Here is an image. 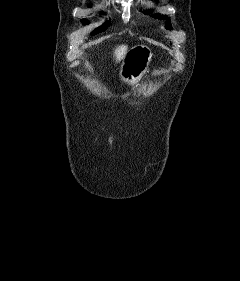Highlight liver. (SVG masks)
Listing matches in <instances>:
<instances>
[{
    "mask_svg": "<svg viewBox=\"0 0 240 281\" xmlns=\"http://www.w3.org/2000/svg\"><path fill=\"white\" fill-rule=\"evenodd\" d=\"M127 49V45H121L114 50V57L116 58V62H120L123 59L124 55L127 52Z\"/></svg>",
    "mask_w": 240,
    "mask_h": 281,
    "instance_id": "1",
    "label": "liver"
}]
</instances>
